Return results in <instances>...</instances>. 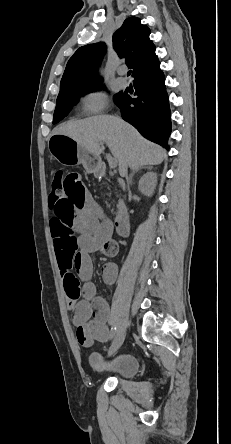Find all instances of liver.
Wrapping results in <instances>:
<instances>
[{
    "mask_svg": "<svg viewBox=\"0 0 231 444\" xmlns=\"http://www.w3.org/2000/svg\"><path fill=\"white\" fill-rule=\"evenodd\" d=\"M53 134H63L75 140L90 153L100 157L105 143L120 168L135 170L146 165L160 164L166 151L143 138L138 131L121 118L99 115L63 123Z\"/></svg>",
    "mask_w": 231,
    "mask_h": 444,
    "instance_id": "6515ba94",
    "label": "liver"
}]
</instances>
